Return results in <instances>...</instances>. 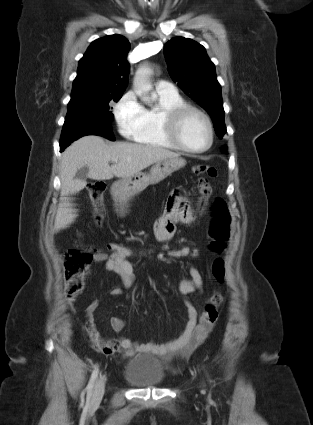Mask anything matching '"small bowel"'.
Instances as JSON below:
<instances>
[{
  "label": "small bowel",
  "instance_id": "1",
  "mask_svg": "<svg viewBox=\"0 0 313 425\" xmlns=\"http://www.w3.org/2000/svg\"><path fill=\"white\" fill-rule=\"evenodd\" d=\"M194 220L193 211L186 198L182 197L178 190H174L168 198L165 211L155 224V235L160 241L170 240L175 232L178 223L187 224ZM109 254L97 251L93 254V259L97 263H105V269L116 273L122 282V287H114L110 294L118 296L122 294L123 288H131L134 284V268L128 258L132 251L118 243L108 245ZM189 247H182L169 252L173 258H184L194 253ZM190 278L180 282L178 290L182 296L201 291L202 276L199 270L193 266L189 269ZM77 299L68 298V303L73 312ZM99 302L94 301L89 304L84 311V321L81 328L85 332L90 344L105 355H111L116 352H124L130 356L136 352H152L164 356H172L176 353L186 357L200 345L207 337L217 320V309H215L209 298L204 310L198 313L194 305L186 301L185 305L188 312V319L181 334L165 343L158 344L154 341L147 343L132 341L120 337L115 340L103 338L94 322L93 313L98 307ZM110 325L114 332H120L125 326V322L119 317H112Z\"/></svg>",
  "mask_w": 313,
  "mask_h": 425
}]
</instances>
